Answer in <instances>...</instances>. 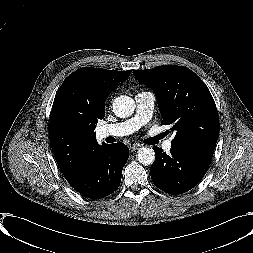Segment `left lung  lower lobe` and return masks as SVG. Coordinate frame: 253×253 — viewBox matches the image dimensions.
Segmentation results:
<instances>
[{
    "label": "left lung lower lobe",
    "mask_w": 253,
    "mask_h": 253,
    "mask_svg": "<svg viewBox=\"0 0 253 253\" xmlns=\"http://www.w3.org/2000/svg\"><path fill=\"white\" fill-rule=\"evenodd\" d=\"M156 154L150 174L156 187L178 195L195 187L209 167L214 149L203 146L174 145L170 154L159 147H153Z\"/></svg>",
    "instance_id": "0a47b994"
}]
</instances>
